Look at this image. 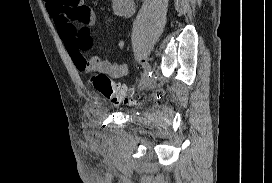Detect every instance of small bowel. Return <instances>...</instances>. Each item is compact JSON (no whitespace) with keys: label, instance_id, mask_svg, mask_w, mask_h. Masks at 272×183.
<instances>
[{"label":"small bowel","instance_id":"1","mask_svg":"<svg viewBox=\"0 0 272 183\" xmlns=\"http://www.w3.org/2000/svg\"><path fill=\"white\" fill-rule=\"evenodd\" d=\"M45 5L78 70H86L88 63L114 79L128 74L126 63L99 58L88 60L86 54L92 47L91 28L95 25V14L84 0H45ZM113 12L119 17H131L135 12L134 0H113ZM118 47L123 49L125 42L119 41Z\"/></svg>","mask_w":272,"mask_h":183}]
</instances>
